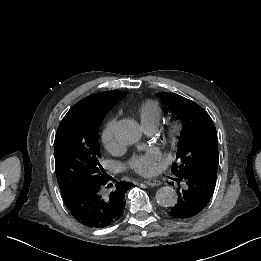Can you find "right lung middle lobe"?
<instances>
[{"instance_id":"1","label":"right lung middle lobe","mask_w":261,"mask_h":261,"mask_svg":"<svg viewBox=\"0 0 261 261\" xmlns=\"http://www.w3.org/2000/svg\"><path fill=\"white\" fill-rule=\"evenodd\" d=\"M106 113L71 108L54 143L55 168L64 200L80 186L93 185L106 173L100 164L98 128Z\"/></svg>"}]
</instances>
